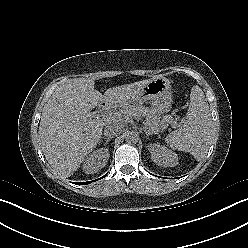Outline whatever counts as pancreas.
<instances>
[{
	"instance_id": "1",
	"label": "pancreas",
	"mask_w": 248,
	"mask_h": 248,
	"mask_svg": "<svg viewBox=\"0 0 248 248\" xmlns=\"http://www.w3.org/2000/svg\"><path fill=\"white\" fill-rule=\"evenodd\" d=\"M121 113H122V117H121L122 119L128 116H133L139 119L144 118L145 127L154 130L155 133H157L160 130H164L167 126L164 122L161 121V117L157 112L144 106H139V105L124 106L123 109L121 110Z\"/></svg>"
}]
</instances>
